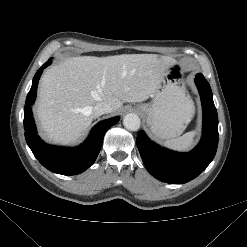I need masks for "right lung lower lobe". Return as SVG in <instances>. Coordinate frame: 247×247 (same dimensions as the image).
<instances>
[{"mask_svg": "<svg viewBox=\"0 0 247 247\" xmlns=\"http://www.w3.org/2000/svg\"><path fill=\"white\" fill-rule=\"evenodd\" d=\"M48 60L35 74L32 87L26 98L24 110L25 138L38 161L51 172L61 175H77L88 169L96 160L106 131L115 125L119 118H111L98 123L89 138L76 148L47 145L37 135L31 106L35 101L37 85L43 69L51 64Z\"/></svg>", "mask_w": 247, "mask_h": 247, "instance_id": "right-lung-lower-lobe-1", "label": "right lung lower lobe"}]
</instances>
